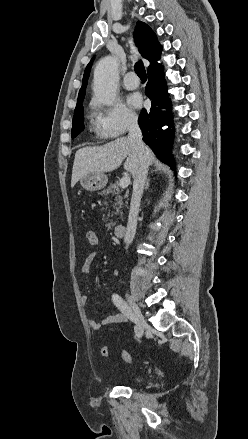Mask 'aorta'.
Listing matches in <instances>:
<instances>
[{
	"instance_id": "aorta-1",
	"label": "aorta",
	"mask_w": 248,
	"mask_h": 439,
	"mask_svg": "<svg viewBox=\"0 0 248 439\" xmlns=\"http://www.w3.org/2000/svg\"><path fill=\"white\" fill-rule=\"evenodd\" d=\"M119 79L118 62L115 57L107 56L99 61L94 70V93L97 99L112 105L117 96Z\"/></svg>"
}]
</instances>
